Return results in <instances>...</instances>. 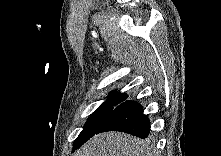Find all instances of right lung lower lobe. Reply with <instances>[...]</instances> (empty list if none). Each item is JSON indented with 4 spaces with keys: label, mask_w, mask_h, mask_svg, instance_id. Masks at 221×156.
<instances>
[{
    "label": "right lung lower lobe",
    "mask_w": 221,
    "mask_h": 156,
    "mask_svg": "<svg viewBox=\"0 0 221 156\" xmlns=\"http://www.w3.org/2000/svg\"><path fill=\"white\" fill-rule=\"evenodd\" d=\"M106 131L125 132L144 139L149 136L150 121L139 103L125 101L110 113L96 134Z\"/></svg>",
    "instance_id": "right-lung-lower-lobe-1"
}]
</instances>
